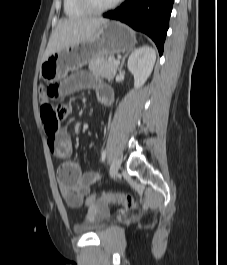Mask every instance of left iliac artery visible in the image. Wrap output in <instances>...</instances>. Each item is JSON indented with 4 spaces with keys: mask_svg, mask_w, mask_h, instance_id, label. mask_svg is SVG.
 Segmentation results:
<instances>
[{
    "mask_svg": "<svg viewBox=\"0 0 227 265\" xmlns=\"http://www.w3.org/2000/svg\"><path fill=\"white\" fill-rule=\"evenodd\" d=\"M105 158H106V150H103L102 153H101L102 162L105 161Z\"/></svg>",
    "mask_w": 227,
    "mask_h": 265,
    "instance_id": "obj_1",
    "label": "left iliac artery"
}]
</instances>
